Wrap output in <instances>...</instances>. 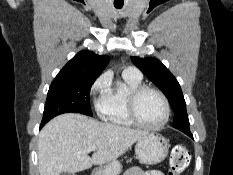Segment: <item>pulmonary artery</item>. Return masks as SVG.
Masks as SVG:
<instances>
[{
  "mask_svg": "<svg viewBox=\"0 0 233 175\" xmlns=\"http://www.w3.org/2000/svg\"><path fill=\"white\" fill-rule=\"evenodd\" d=\"M123 73L127 74V75L134 76V77H138V78L142 77L141 72L139 71V69H137L135 67H132V66L126 68Z\"/></svg>",
  "mask_w": 233,
  "mask_h": 175,
  "instance_id": "pulmonary-artery-1",
  "label": "pulmonary artery"
}]
</instances>
